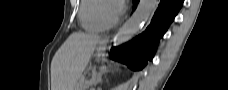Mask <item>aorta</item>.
Instances as JSON below:
<instances>
[{
	"label": "aorta",
	"mask_w": 228,
	"mask_h": 90,
	"mask_svg": "<svg viewBox=\"0 0 228 90\" xmlns=\"http://www.w3.org/2000/svg\"><path fill=\"white\" fill-rule=\"evenodd\" d=\"M156 0H140L137 9L114 37V46L128 42L148 21L156 9Z\"/></svg>",
	"instance_id": "aorta-1"
}]
</instances>
